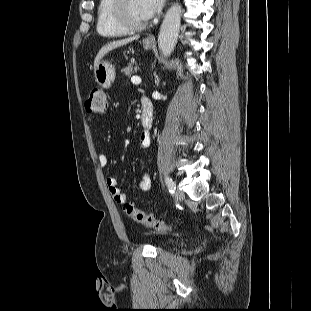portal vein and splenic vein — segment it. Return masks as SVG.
<instances>
[{
    "instance_id": "18ae733b",
    "label": "portal vein and splenic vein",
    "mask_w": 311,
    "mask_h": 311,
    "mask_svg": "<svg viewBox=\"0 0 311 311\" xmlns=\"http://www.w3.org/2000/svg\"><path fill=\"white\" fill-rule=\"evenodd\" d=\"M141 81H142L141 78L138 77V76H133V77L131 78V82H132L133 84H136V85L140 84Z\"/></svg>"
}]
</instances>
